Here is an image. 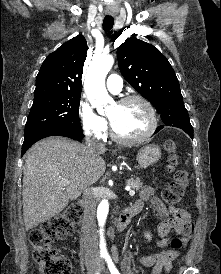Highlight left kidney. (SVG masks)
<instances>
[{"label": "left kidney", "mask_w": 221, "mask_h": 274, "mask_svg": "<svg viewBox=\"0 0 221 274\" xmlns=\"http://www.w3.org/2000/svg\"><path fill=\"white\" fill-rule=\"evenodd\" d=\"M145 237L148 239V240H151V236H150V234H145Z\"/></svg>", "instance_id": "1"}]
</instances>
